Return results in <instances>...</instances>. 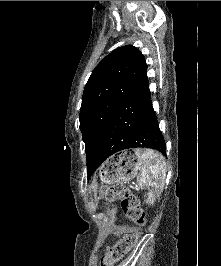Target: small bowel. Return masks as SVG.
Listing matches in <instances>:
<instances>
[{
  "mask_svg": "<svg viewBox=\"0 0 221 266\" xmlns=\"http://www.w3.org/2000/svg\"><path fill=\"white\" fill-rule=\"evenodd\" d=\"M130 229L127 228V227H121V228H118V231L120 232H126V231H129Z\"/></svg>",
  "mask_w": 221,
  "mask_h": 266,
  "instance_id": "1",
  "label": "small bowel"
}]
</instances>
